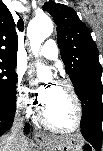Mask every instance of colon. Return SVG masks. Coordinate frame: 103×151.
<instances>
[{
    "label": "colon",
    "instance_id": "5ec220e1",
    "mask_svg": "<svg viewBox=\"0 0 103 151\" xmlns=\"http://www.w3.org/2000/svg\"><path fill=\"white\" fill-rule=\"evenodd\" d=\"M84 151H92V150H91V148H89V147H85V148H84Z\"/></svg>",
    "mask_w": 103,
    "mask_h": 151
}]
</instances>
